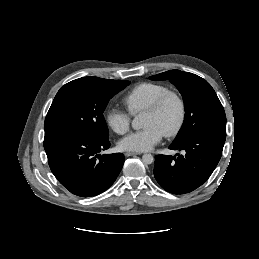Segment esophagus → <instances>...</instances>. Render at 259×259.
<instances>
[{
  "label": "esophagus",
  "instance_id": "1",
  "mask_svg": "<svg viewBox=\"0 0 259 259\" xmlns=\"http://www.w3.org/2000/svg\"><path fill=\"white\" fill-rule=\"evenodd\" d=\"M141 153L138 152H125V156L129 157V156H133V155H140Z\"/></svg>",
  "mask_w": 259,
  "mask_h": 259
}]
</instances>
